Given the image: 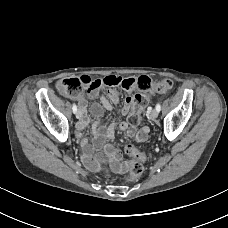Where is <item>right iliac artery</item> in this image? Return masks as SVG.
Listing matches in <instances>:
<instances>
[{"instance_id": "obj_1", "label": "right iliac artery", "mask_w": 228, "mask_h": 228, "mask_svg": "<svg viewBox=\"0 0 228 228\" xmlns=\"http://www.w3.org/2000/svg\"><path fill=\"white\" fill-rule=\"evenodd\" d=\"M72 110H73L74 113H76V111H77V106H76L75 104H73Z\"/></svg>"}]
</instances>
